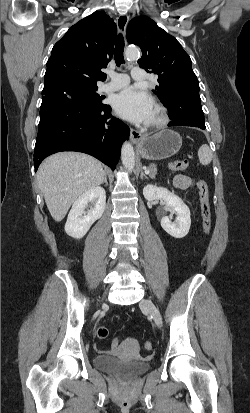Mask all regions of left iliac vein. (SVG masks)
<instances>
[{"label": "left iliac vein", "instance_id": "left-iliac-vein-1", "mask_svg": "<svg viewBox=\"0 0 250 413\" xmlns=\"http://www.w3.org/2000/svg\"><path fill=\"white\" fill-rule=\"evenodd\" d=\"M140 307L146 310L152 317L158 327L162 326V317L157 307L148 299H143L140 302Z\"/></svg>", "mask_w": 250, "mask_h": 413}]
</instances>
